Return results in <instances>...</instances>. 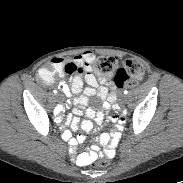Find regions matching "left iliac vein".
Wrapping results in <instances>:
<instances>
[{"mask_svg":"<svg viewBox=\"0 0 183 183\" xmlns=\"http://www.w3.org/2000/svg\"><path fill=\"white\" fill-rule=\"evenodd\" d=\"M122 101L126 102V96H123Z\"/></svg>","mask_w":183,"mask_h":183,"instance_id":"1","label":"left iliac vein"}]
</instances>
